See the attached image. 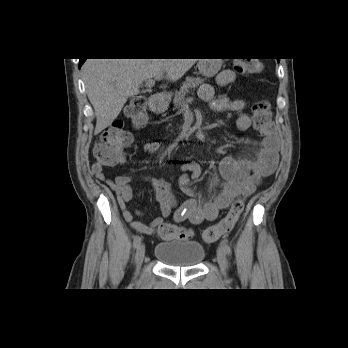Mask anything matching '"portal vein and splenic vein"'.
<instances>
[{
  "label": "portal vein and splenic vein",
  "mask_w": 348,
  "mask_h": 348,
  "mask_svg": "<svg viewBox=\"0 0 348 348\" xmlns=\"http://www.w3.org/2000/svg\"><path fill=\"white\" fill-rule=\"evenodd\" d=\"M155 84V81L153 79H148L145 81V86L148 87V88H151L153 87Z\"/></svg>",
  "instance_id": "portal-vein-and-splenic-vein-1"
}]
</instances>
